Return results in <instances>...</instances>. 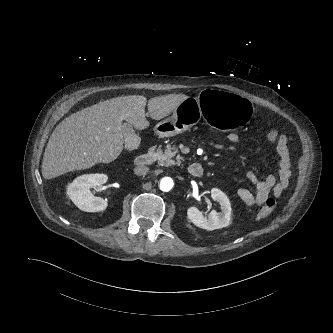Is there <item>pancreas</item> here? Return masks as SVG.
<instances>
[{
	"instance_id": "pancreas-1",
	"label": "pancreas",
	"mask_w": 333,
	"mask_h": 333,
	"mask_svg": "<svg viewBox=\"0 0 333 333\" xmlns=\"http://www.w3.org/2000/svg\"><path fill=\"white\" fill-rule=\"evenodd\" d=\"M177 153V148L174 145L171 146L170 144L166 146L164 151L158 149L156 152L158 163L165 166L179 165L181 162V157ZM173 157H176V161L172 159Z\"/></svg>"
}]
</instances>
